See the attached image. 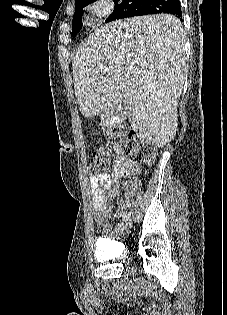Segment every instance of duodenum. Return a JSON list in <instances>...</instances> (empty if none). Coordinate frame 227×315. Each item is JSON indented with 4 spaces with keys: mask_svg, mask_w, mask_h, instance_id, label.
<instances>
[{
    "mask_svg": "<svg viewBox=\"0 0 227 315\" xmlns=\"http://www.w3.org/2000/svg\"><path fill=\"white\" fill-rule=\"evenodd\" d=\"M108 122L110 124H116L119 122V117L117 115H114V114H109L108 115Z\"/></svg>",
    "mask_w": 227,
    "mask_h": 315,
    "instance_id": "1",
    "label": "duodenum"
}]
</instances>
